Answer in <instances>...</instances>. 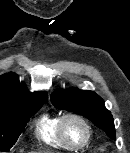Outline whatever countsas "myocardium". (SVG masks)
Here are the masks:
<instances>
[{"label": "myocardium", "mask_w": 130, "mask_h": 153, "mask_svg": "<svg viewBox=\"0 0 130 153\" xmlns=\"http://www.w3.org/2000/svg\"><path fill=\"white\" fill-rule=\"evenodd\" d=\"M68 120H76L84 127V129L86 131V138L82 144L75 145L68 140L66 133H65V124ZM58 131H59V134H60L63 142L71 150L83 149L84 147H86L89 144L91 137H92V129H91V126L89 125L88 121L82 115H80L76 112H68V113L63 114L60 117L59 123H58Z\"/></svg>", "instance_id": "f54148a6"}]
</instances>
